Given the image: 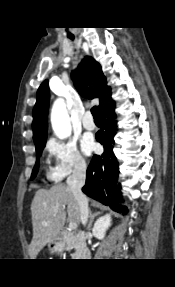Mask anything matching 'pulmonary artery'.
<instances>
[{
  "instance_id": "e3ab8cb5",
  "label": "pulmonary artery",
  "mask_w": 175,
  "mask_h": 287,
  "mask_svg": "<svg viewBox=\"0 0 175 287\" xmlns=\"http://www.w3.org/2000/svg\"><path fill=\"white\" fill-rule=\"evenodd\" d=\"M82 124H83L84 128H86L88 130H93L95 128V123H94L93 117L89 112L84 115V117L82 119Z\"/></svg>"
}]
</instances>
